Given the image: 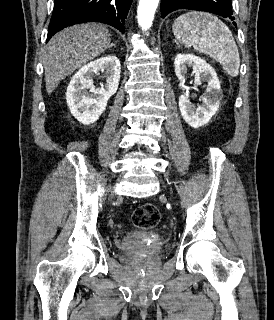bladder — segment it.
<instances>
[{"mask_svg": "<svg viewBox=\"0 0 274 320\" xmlns=\"http://www.w3.org/2000/svg\"><path fill=\"white\" fill-rule=\"evenodd\" d=\"M160 240L161 236L156 231H129L121 239L119 247L127 255H151L159 251Z\"/></svg>", "mask_w": 274, "mask_h": 320, "instance_id": "1", "label": "bladder"}]
</instances>
